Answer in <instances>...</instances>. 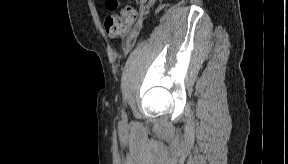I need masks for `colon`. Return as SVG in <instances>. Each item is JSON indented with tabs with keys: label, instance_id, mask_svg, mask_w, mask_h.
Masks as SVG:
<instances>
[{
	"label": "colon",
	"instance_id": "5ec220e1",
	"mask_svg": "<svg viewBox=\"0 0 288 164\" xmlns=\"http://www.w3.org/2000/svg\"><path fill=\"white\" fill-rule=\"evenodd\" d=\"M110 8L112 10L119 9V11L104 19L106 35L111 39L124 37L134 23L137 12L132 6H119L117 2L112 3Z\"/></svg>",
	"mask_w": 288,
	"mask_h": 164
}]
</instances>
